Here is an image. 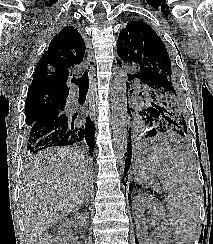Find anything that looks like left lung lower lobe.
<instances>
[{
    "mask_svg": "<svg viewBox=\"0 0 213 244\" xmlns=\"http://www.w3.org/2000/svg\"><path fill=\"white\" fill-rule=\"evenodd\" d=\"M131 111H134V110L128 108V113L129 114H131ZM142 114L144 116H146L147 122L148 123L150 122V127H151V129L148 132H146V135L144 136L145 138H151V137L156 136L160 132H165L163 124L156 123L155 120H153L152 117H150L146 113L144 114V112H142ZM129 137H131V136L129 135ZM132 148H133L132 142L130 141L128 143V145H127V152L125 153V156L127 155V158H126V161H125L124 177H126L127 171L129 170V166H130V163H131Z\"/></svg>",
    "mask_w": 213,
    "mask_h": 244,
    "instance_id": "1",
    "label": "left lung lower lobe"
}]
</instances>
